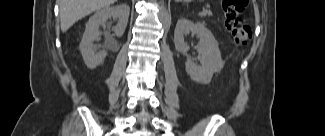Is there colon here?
Masks as SVG:
<instances>
[{"mask_svg":"<svg viewBox=\"0 0 325 136\" xmlns=\"http://www.w3.org/2000/svg\"><path fill=\"white\" fill-rule=\"evenodd\" d=\"M248 0H223L222 7L226 16V26L238 46H246L252 38L244 9Z\"/></svg>","mask_w":325,"mask_h":136,"instance_id":"1","label":"colon"}]
</instances>
